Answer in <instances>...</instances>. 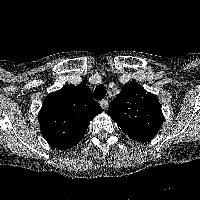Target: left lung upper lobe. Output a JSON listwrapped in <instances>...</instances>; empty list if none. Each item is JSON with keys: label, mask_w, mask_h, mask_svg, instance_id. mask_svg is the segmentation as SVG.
<instances>
[{"label": "left lung upper lobe", "mask_w": 200, "mask_h": 200, "mask_svg": "<svg viewBox=\"0 0 200 200\" xmlns=\"http://www.w3.org/2000/svg\"><path fill=\"white\" fill-rule=\"evenodd\" d=\"M107 113L136 141H149L162 124L161 106L155 95L137 83L126 85L110 103Z\"/></svg>", "instance_id": "5c2ea615"}]
</instances>
